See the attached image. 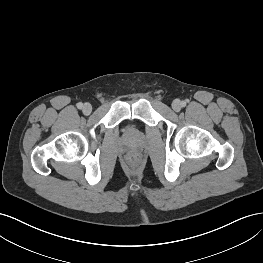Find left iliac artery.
Wrapping results in <instances>:
<instances>
[{
    "instance_id": "obj_1",
    "label": "left iliac artery",
    "mask_w": 263,
    "mask_h": 263,
    "mask_svg": "<svg viewBox=\"0 0 263 263\" xmlns=\"http://www.w3.org/2000/svg\"><path fill=\"white\" fill-rule=\"evenodd\" d=\"M186 105V102H182V107H184Z\"/></svg>"
}]
</instances>
